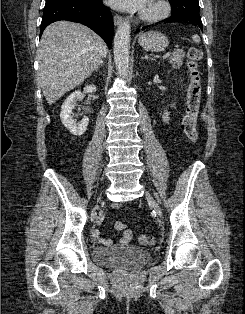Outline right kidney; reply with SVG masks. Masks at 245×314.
Masks as SVG:
<instances>
[{"label": "right kidney", "mask_w": 245, "mask_h": 314, "mask_svg": "<svg viewBox=\"0 0 245 314\" xmlns=\"http://www.w3.org/2000/svg\"><path fill=\"white\" fill-rule=\"evenodd\" d=\"M97 87L95 85H89L84 88V92L86 93H95ZM82 97V92L77 90L74 91L61 106L60 118L62 124L70 131L71 134L75 136L83 135L89 123V118L84 117L81 122L76 123L73 118V109L76 104V101Z\"/></svg>", "instance_id": "obj_1"}]
</instances>
